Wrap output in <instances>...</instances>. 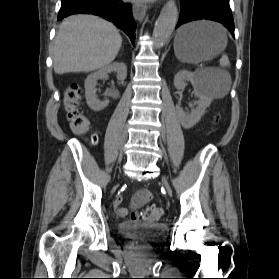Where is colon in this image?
Returning <instances> with one entry per match:
<instances>
[{"mask_svg": "<svg viewBox=\"0 0 279 279\" xmlns=\"http://www.w3.org/2000/svg\"><path fill=\"white\" fill-rule=\"evenodd\" d=\"M82 90L79 84L73 82L64 91V109L71 130L78 135L86 137L90 144H96L97 137L89 135L90 121L81 108ZM163 211L156 206H149L138 214H133L132 219L157 221L162 217Z\"/></svg>", "mask_w": 279, "mask_h": 279, "instance_id": "colon-1", "label": "colon"}]
</instances>
